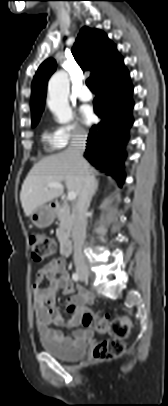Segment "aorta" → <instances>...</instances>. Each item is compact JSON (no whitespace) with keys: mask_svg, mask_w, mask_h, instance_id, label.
<instances>
[{"mask_svg":"<svg viewBox=\"0 0 168 406\" xmlns=\"http://www.w3.org/2000/svg\"><path fill=\"white\" fill-rule=\"evenodd\" d=\"M68 95L69 76L65 71H58L49 80L47 104L59 123H67L73 116Z\"/></svg>","mask_w":168,"mask_h":406,"instance_id":"1","label":"aorta"}]
</instances>
